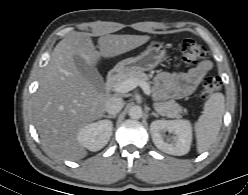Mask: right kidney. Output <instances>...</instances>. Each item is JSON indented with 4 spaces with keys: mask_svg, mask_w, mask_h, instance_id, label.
<instances>
[{
    "mask_svg": "<svg viewBox=\"0 0 248 195\" xmlns=\"http://www.w3.org/2000/svg\"><path fill=\"white\" fill-rule=\"evenodd\" d=\"M112 129L113 124L109 120L90 123L79 130L77 140L80 145L88 150L99 151L110 140Z\"/></svg>",
    "mask_w": 248,
    "mask_h": 195,
    "instance_id": "1",
    "label": "right kidney"
}]
</instances>
